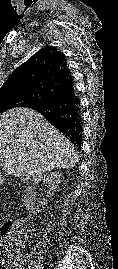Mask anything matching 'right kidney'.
I'll return each mask as SVG.
<instances>
[{"instance_id": "ca27d5eb", "label": "right kidney", "mask_w": 118, "mask_h": 269, "mask_svg": "<svg viewBox=\"0 0 118 269\" xmlns=\"http://www.w3.org/2000/svg\"><path fill=\"white\" fill-rule=\"evenodd\" d=\"M61 179L62 176L58 172H46L34 179L31 185L27 187L24 196V205L26 209L34 215L40 211L39 205L35 203V195L33 194L35 185L39 183L45 184L48 187L47 194L53 195L58 190Z\"/></svg>"}]
</instances>
